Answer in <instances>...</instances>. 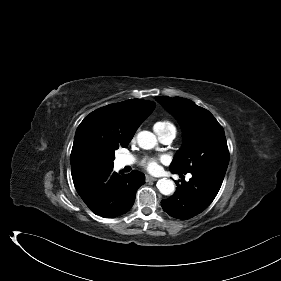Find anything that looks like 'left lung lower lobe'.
I'll return each mask as SVG.
<instances>
[{
	"instance_id": "left-lung-lower-lobe-1",
	"label": "left lung lower lobe",
	"mask_w": 281,
	"mask_h": 281,
	"mask_svg": "<svg viewBox=\"0 0 281 281\" xmlns=\"http://www.w3.org/2000/svg\"><path fill=\"white\" fill-rule=\"evenodd\" d=\"M171 171L183 176V172ZM191 174L188 182H176V192L161 201L163 210L174 218L190 219L204 211L216 197L225 176V172L215 170Z\"/></svg>"
}]
</instances>
